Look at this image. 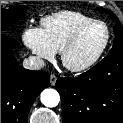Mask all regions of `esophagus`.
Listing matches in <instances>:
<instances>
[{"label":"esophagus","instance_id":"34e87169","mask_svg":"<svg viewBox=\"0 0 123 123\" xmlns=\"http://www.w3.org/2000/svg\"><path fill=\"white\" fill-rule=\"evenodd\" d=\"M56 80H57L56 75H55V74H51V75H50V84H51L52 86L55 85Z\"/></svg>","mask_w":123,"mask_h":123}]
</instances>
